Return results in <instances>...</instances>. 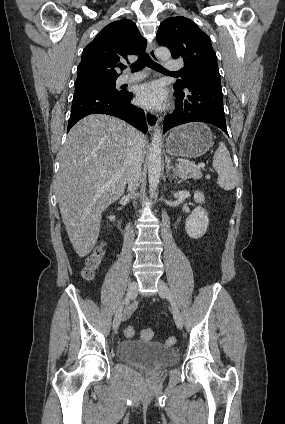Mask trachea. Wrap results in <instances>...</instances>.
<instances>
[{
	"instance_id": "trachea-1",
	"label": "trachea",
	"mask_w": 285,
	"mask_h": 424,
	"mask_svg": "<svg viewBox=\"0 0 285 424\" xmlns=\"http://www.w3.org/2000/svg\"><path fill=\"white\" fill-rule=\"evenodd\" d=\"M148 66L153 70L163 72V73H179V72H170L166 70L164 67L159 65L158 63L154 62L148 54L142 53L139 55L138 60L133 63L130 68L132 72L140 71L143 67ZM124 68V67H123Z\"/></svg>"
}]
</instances>
